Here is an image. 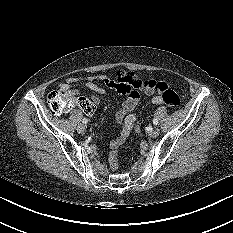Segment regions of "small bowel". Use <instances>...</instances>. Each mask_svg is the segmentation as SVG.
<instances>
[{
  "mask_svg": "<svg viewBox=\"0 0 233 233\" xmlns=\"http://www.w3.org/2000/svg\"><path fill=\"white\" fill-rule=\"evenodd\" d=\"M97 82L104 84L106 88L114 89L117 92L124 94L126 99L122 103L119 110L116 112L115 120L117 123H122V129L117 137L111 140L110 147L115 151L119 146H121L132 131L138 132L139 127L136 123V119L130 113L136 108L140 100V92H144L147 95H154L157 91L151 86V83L155 82L154 80H149L143 83L141 87L138 88H124L117 78H112L107 75H96L88 77L84 80H79L74 77L66 79L59 85V89L64 91L67 95L73 97L76 101V104L80 109L84 110L87 113H91L94 110V107L99 103V97L97 94H105L106 89L100 87ZM83 86L91 90L95 94L91 96L90 99L79 96V90L77 87ZM154 104H161L159 102V96H155L152 99ZM89 106V107H88ZM132 118L133 122L129 123V119Z\"/></svg>",
  "mask_w": 233,
  "mask_h": 233,
  "instance_id": "obj_1",
  "label": "small bowel"
}]
</instances>
